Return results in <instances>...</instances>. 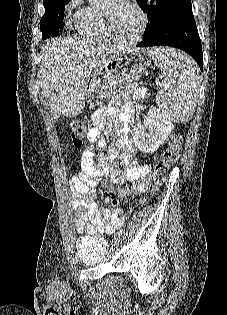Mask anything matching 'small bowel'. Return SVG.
<instances>
[{
    "mask_svg": "<svg viewBox=\"0 0 227 315\" xmlns=\"http://www.w3.org/2000/svg\"><path fill=\"white\" fill-rule=\"evenodd\" d=\"M145 93L146 91L137 88L135 83L126 88V94L133 99L142 97ZM103 115V111L96 115L94 126L87 136V145L80 157L78 173L68 180L75 230L81 234H112L125 224V219H121L117 210L100 208L95 202L96 187L103 178H108L116 186L121 197L138 195L149 188L150 166L136 161L133 157L134 146L128 138L120 139L116 146L110 148L108 160L104 157L97 159V146L104 145L100 140ZM117 148L122 150L121 163L125 166L123 170L118 167ZM125 181H131L132 185L123 187Z\"/></svg>",
    "mask_w": 227,
    "mask_h": 315,
    "instance_id": "obj_1",
    "label": "small bowel"
}]
</instances>
